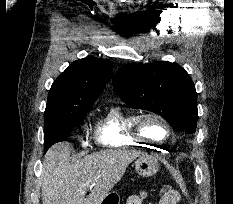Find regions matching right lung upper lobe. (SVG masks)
Returning a JSON list of instances; mask_svg holds the SVG:
<instances>
[{"label":"right lung upper lobe","mask_w":233,"mask_h":204,"mask_svg":"<svg viewBox=\"0 0 233 204\" xmlns=\"http://www.w3.org/2000/svg\"><path fill=\"white\" fill-rule=\"evenodd\" d=\"M112 69L110 61L91 56L70 64L51 86L44 121L89 111Z\"/></svg>","instance_id":"1"}]
</instances>
